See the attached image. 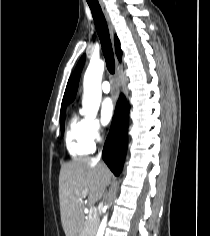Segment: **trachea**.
Returning a JSON list of instances; mask_svg holds the SVG:
<instances>
[{"label":"trachea","instance_id":"3493384b","mask_svg":"<svg viewBox=\"0 0 210 236\" xmlns=\"http://www.w3.org/2000/svg\"><path fill=\"white\" fill-rule=\"evenodd\" d=\"M87 3L90 7L95 27L100 38L107 69L110 74L113 75L115 73V60L104 14L97 0H87Z\"/></svg>","mask_w":210,"mask_h":236}]
</instances>
